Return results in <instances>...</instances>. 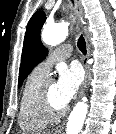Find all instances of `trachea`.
Masks as SVG:
<instances>
[{"mask_svg":"<svg viewBox=\"0 0 116 134\" xmlns=\"http://www.w3.org/2000/svg\"><path fill=\"white\" fill-rule=\"evenodd\" d=\"M79 50L85 55L86 54V42L84 37L81 35L77 42Z\"/></svg>","mask_w":116,"mask_h":134,"instance_id":"3493384b","label":"trachea"}]
</instances>
